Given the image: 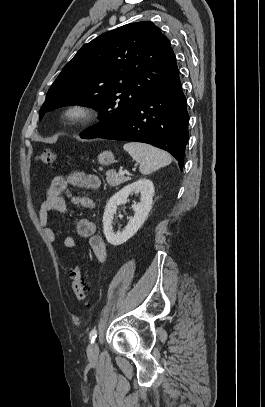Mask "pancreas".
<instances>
[{"instance_id":"1","label":"pancreas","mask_w":265,"mask_h":407,"mask_svg":"<svg viewBox=\"0 0 265 407\" xmlns=\"http://www.w3.org/2000/svg\"><path fill=\"white\" fill-rule=\"evenodd\" d=\"M130 179H131L130 177L118 174L113 170L106 172V181L112 187L118 186L124 182L129 181Z\"/></svg>"}]
</instances>
